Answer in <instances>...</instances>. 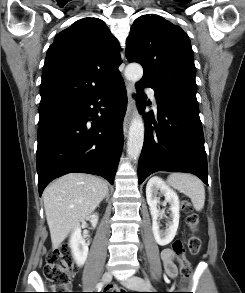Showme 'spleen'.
<instances>
[{
	"label": "spleen",
	"instance_id": "3e777b00",
	"mask_svg": "<svg viewBox=\"0 0 245 293\" xmlns=\"http://www.w3.org/2000/svg\"><path fill=\"white\" fill-rule=\"evenodd\" d=\"M167 182L179 192L188 196L196 211H201L205 203V189L202 181L194 175L173 173Z\"/></svg>",
	"mask_w": 245,
	"mask_h": 293
}]
</instances>
